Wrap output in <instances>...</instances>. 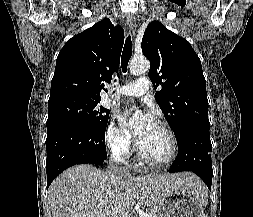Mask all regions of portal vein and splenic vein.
I'll return each instance as SVG.
<instances>
[{
  "instance_id": "18ae733b",
  "label": "portal vein and splenic vein",
  "mask_w": 253,
  "mask_h": 217,
  "mask_svg": "<svg viewBox=\"0 0 253 217\" xmlns=\"http://www.w3.org/2000/svg\"><path fill=\"white\" fill-rule=\"evenodd\" d=\"M125 217H128V216H125ZM143 217H150L149 214H145Z\"/></svg>"
}]
</instances>
